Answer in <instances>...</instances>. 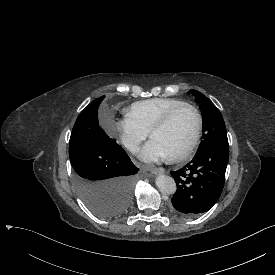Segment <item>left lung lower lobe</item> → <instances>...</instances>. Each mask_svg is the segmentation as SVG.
<instances>
[{
	"mask_svg": "<svg viewBox=\"0 0 275 275\" xmlns=\"http://www.w3.org/2000/svg\"><path fill=\"white\" fill-rule=\"evenodd\" d=\"M228 159L229 145H214L196 153L183 168L171 171L177 185L171 211L184 217L208 211L223 190Z\"/></svg>",
	"mask_w": 275,
	"mask_h": 275,
	"instance_id": "1",
	"label": "left lung lower lobe"
}]
</instances>
